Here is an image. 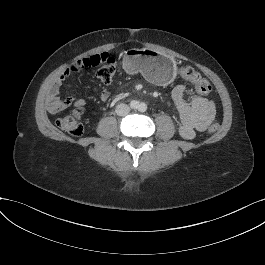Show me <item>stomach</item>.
Instances as JSON below:
<instances>
[{"label":"stomach","mask_w":265,"mask_h":265,"mask_svg":"<svg viewBox=\"0 0 265 265\" xmlns=\"http://www.w3.org/2000/svg\"><path fill=\"white\" fill-rule=\"evenodd\" d=\"M123 68L129 74L141 73L158 85L170 84L176 77L175 60L152 49L127 50L123 57Z\"/></svg>","instance_id":"stomach-1"}]
</instances>
